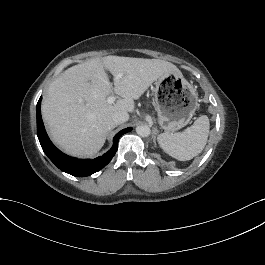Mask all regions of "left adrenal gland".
<instances>
[{
    "label": "left adrenal gland",
    "mask_w": 265,
    "mask_h": 265,
    "mask_svg": "<svg viewBox=\"0 0 265 265\" xmlns=\"http://www.w3.org/2000/svg\"><path fill=\"white\" fill-rule=\"evenodd\" d=\"M153 141H154V143H155V145H156L155 139H154Z\"/></svg>",
    "instance_id": "1"
}]
</instances>
